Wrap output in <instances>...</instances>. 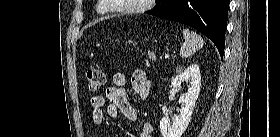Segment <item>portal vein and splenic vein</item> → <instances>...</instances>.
Here are the masks:
<instances>
[{
    "label": "portal vein and splenic vein",
    "instance_id": "portal-vein-and-splenic-vein-1",
    "mask_svg": "<svg viewBox=\"0 0 280 137\" xmlns=\"http://www.w3.org/2000/svg\"><path fill=\"white\" fill-rule=\"evenodd\" d=\"M168 58H169V54H166V55H165V59H168Z\"/></svg>",
    "mask_w": 280,
    "mask_h": 137
}]
</instances>
